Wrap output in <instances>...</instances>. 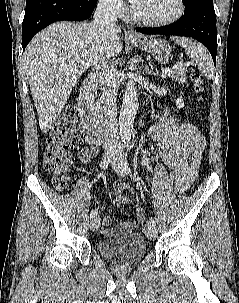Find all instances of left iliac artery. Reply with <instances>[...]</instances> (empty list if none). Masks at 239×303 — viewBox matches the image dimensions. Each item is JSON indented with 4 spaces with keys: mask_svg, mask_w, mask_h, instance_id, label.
<instances>
[{
    "mask_svg": "<svg viewBox=\"0 0 239 303\" xmlns=\"http://www.w3.org/2000/svg\"><path fill=\"white\" fill-rule=\"evenodd\" d=\"M125 147H126V152H125V155H124L123 159L121 160V164H122V166H123V168L126 172L131 173V170H130L129 165H128L127 157H128V151L132 148V144L131 143H126ZM150 223H152L153 225L156 224V221L153 217H151Z\"/></svg>",
    "mask_w": 239,
    "mask_h": 303,
    "instance_id": "44dca946",
    "label": "left iliac artery"
}]
</instances>
